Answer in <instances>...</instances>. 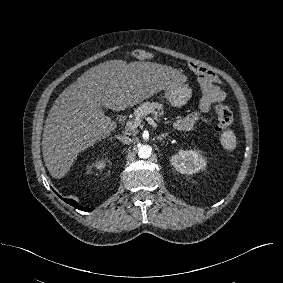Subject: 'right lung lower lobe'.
<instances>
[{
  "mask_svg": "<svg viewBox=\"0 0 283 283\" xmlns=\"http://www.w3.org/2000/svg\"><path fill=\"white\" fill-rule=\"evenodd\" d=\"M57 194V193H56ZM58 195V194H57ZM60 198H62L60 195H58ZM66 203L74 206L76 209H80V210H83V211H91V208H84L80 205H78V203L72 199H65V198H62Z\"/></svg>",
  "mask_w": 283,
  "mask_h": 283,
  "instance_id": "obj_1",
  "label": "right lung lower lobe"
}]
</instances>
